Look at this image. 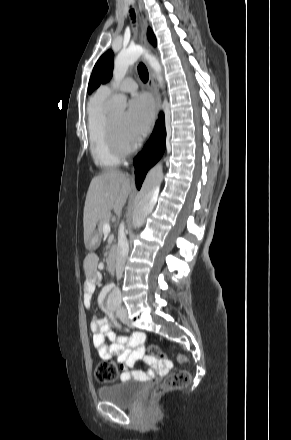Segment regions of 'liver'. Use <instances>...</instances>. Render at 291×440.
I'll return each mask as SVG.
<instances>
[{"label": "liver", "mask_w": 291, "mask_h": 440, "mask_svg": "<svg viewBox=\"0 0 291 440\" xmlns=\"http://www.w3.org/2000/svg\"><path fill=\"white\" fill-rule=\"evenodd\" d=\"M131 190L128 176L117 170L105 171L91 180L83 215L85 245L94 234L98 221L106 217L111 209L120 216Z\"/></svg>", "instance_id": "obj_1"}]
</instances>
